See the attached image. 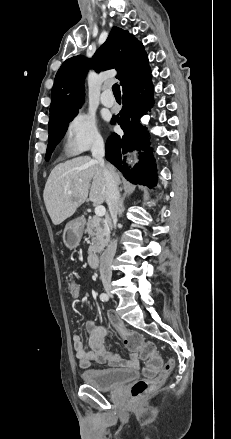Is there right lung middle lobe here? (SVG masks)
<instances>
[{
	"instance_id": "obj_1",
	"label": "right lung middle lobe",
	"mask_w": 231,
	"mask_h": 439,
	"mask_svg": "<svg viewBox=\"0 0 231 439\" xmlns=\"http://www.w3.org/2000/svg\"><path fill=\"white\" fill-rule=\"evenodd\" d=\"M75 116L67 118L63 120L62 122L49 127V138H48V146H47V152L45 156V160L48 161L51 157V153L54 150V147L57 145V143L61 140V138L64 136L69 122L73 120Z\"/></svg>"
}]
</instances>
